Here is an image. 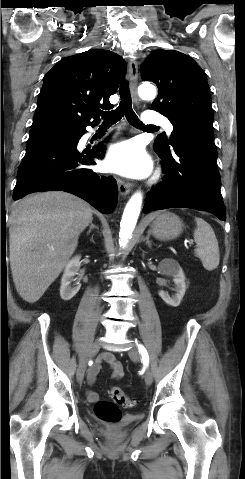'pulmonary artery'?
<instances>
[{"label": "pulmonary artery", "instance_id": "obj_1", "mask_svg": "<svg viewBox=\"0 0 245 479\" xmlns=\"http://www.w3.org/2000/svg\"><path fill=\"white\" fill-rule=\"evenodd\" d=\"M143 120L146 124L154 127L157 125L163 126L169 134L173 130V126L170 121L165 116L154 111H146L143 115Z\"/></svg>", "mask_w": 245, "mask_h": 479}]
</instances>
